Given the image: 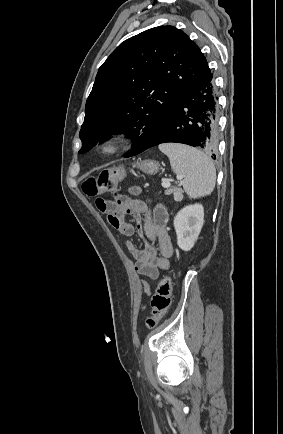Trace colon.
<instances>
[{
	"label": "colon",
	"mask_w": 283,
	"mask_h": 434,
	"mask_svg": "<svg viewBox=\"0 0 283 434\" xmlns=\"http://www.w3.org/2000/svg\"><path fill=\"white\" fill-rule=\"evenodd\" d=\"M125 175L122 168H108L95 176L86 178L82 183L83 192L90 197L110 191ZM171 304V278L165 274L159 281L151 299V316L146 320L148 328H154L164 318Z\"/></svg>",
	"instance_id": "colon-1"
}]
</instances>
